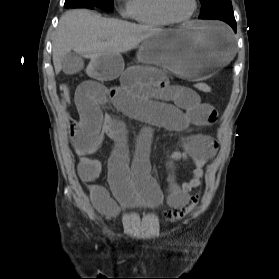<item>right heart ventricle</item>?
I'll use <instances>...</instances> for the list:
<instances>
[{"label":"right heart ventricle","instance_id":"obj_1","mask_svg":"<svg viewBox=\"0 0 279 279\" xmlns=\"http://www.w3.org/2000/svg\"><path fill=\"white\" fill-rule=\"evenodd\" d=\"M132 17L147 26H167L170 22L159 11L157 0H133Z\"/></svg>","mask_w":279,"mask_h":279}]
</instances>
